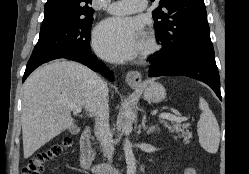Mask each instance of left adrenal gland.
Segmentation results:
<instances>
[{"mask_svg":"<svg viewBox=\"0 0 249 174\" xmlns=\"http://www.w3.org/2000/svg\"><path fill=\"white\" fill-rule=\"evenodd\" d=\"M146 119H147V117H146V115H144L143 120H142V127L147 132V134H151L154 131H156V125H152L150 127L146 126V122H147Z\"/></svg>","mask_w":249,"mask_h":174,"instance_id":"a2214340","label":"left adrenal gland"}]
</instances>
